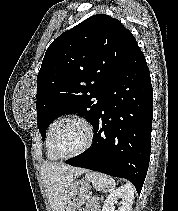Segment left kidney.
<instances>
[{
	"label": "left kidney",
	"mask_w": 178,
	"mask_h": 211,
	"mask_svg": "<svg viewBox=\"0 0 178 211\" xmlns=\"http://www.w3.org/2000/svg\"><path fill=\"white\" fill-rule=\"evenodd\" d=\"M121 200L118 203V200ZM134 200V188L131 184H125L109 194L104 202L102 211H131ZM119 209L115 210V205Z\"/></svg>",
	"instance_id": "left-kidney-1"
}]
</instances>
